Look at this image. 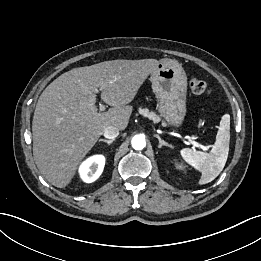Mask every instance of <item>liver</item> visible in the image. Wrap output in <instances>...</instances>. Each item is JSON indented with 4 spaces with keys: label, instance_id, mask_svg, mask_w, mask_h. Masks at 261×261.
<instances>
[{
    "label": "liver",
    "instance_id": "obj_1",
    "mask_svg": "<svg viewBox=\"0 0 261 261\" xmlns=\"http://www.w3.org/2000/svg\"><path fill=\"white\" fill-rule=\"evenodd\" d=\"M156 59L112 60L63 73L42 92L33 116V156L45 179L66 187L108 126L125 130L129 103L156 69ZM111 108L98 112L97 91Z\"/></svg>",
    "mask_w": 261,
    "mask_h": 261
}]
</instances>
